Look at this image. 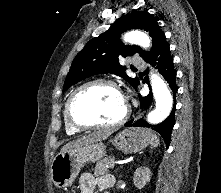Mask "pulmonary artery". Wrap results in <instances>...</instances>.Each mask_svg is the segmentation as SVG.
Segmentation results:
<instances>
[{
  "label": "pulmonary artery",
  "instance_id": "pulmonary-artery-1",
  "mask_svg": "<svg viewBox=\"0 0 221 193\" xmlns=\"http://www.w3.org/2000/svg\"><path fill=\"white\" fill-rule=\"evenodd\" d=\"M132 63H133L134 65H136V66H141V65H142V60H141L139 57L134 56V57L132 58Z\"/></svg>",
  "mask_w": 221,
  "mask_h": 193
}]
</instances>
